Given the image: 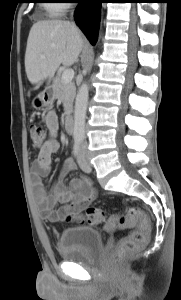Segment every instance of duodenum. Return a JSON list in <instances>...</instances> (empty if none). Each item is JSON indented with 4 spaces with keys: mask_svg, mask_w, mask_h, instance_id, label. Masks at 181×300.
Wrapping results in <instances>:
<instances>
[{
    "mask_svg": "<svg viewBox=\"0 0 181 300\" xmlns=\"http://www.w3.org/2000/svg\"><path fill=\"white\" fill-rule=\"evenodd\" d=\"M65 128L68 133L74 131V117L71 113H67L65 116Z\"/></svg>",
    "mask_w": 181,
    "mask_h": 300,
    "instance_id": "1",
    "label": "duodenum"
}]
</instances>
